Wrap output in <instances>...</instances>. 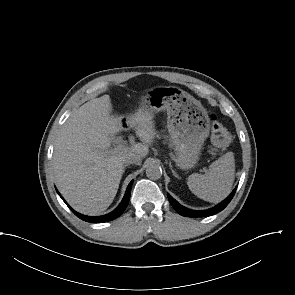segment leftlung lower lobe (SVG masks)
<instances>
[{
  "instance_id": "obj_1",
  "label": "left lung lower lobe",
  "mask_w": 295,
  "mask_h": 295,
  "mask_svg": "<svg viewBox=\"0 0 295 295\" xmlns=\"http://www.w3.org/2000/svg\"><path fill=\"white\" fill-rule=\"evenodd\" d=\"M236 188L233 190V192L229 195L227 199H225L223 202H221L219 205L215 206L212 209L203 210V211H196V210H190L182 205H180L175 199L171 197V195L167 194L169 202L173 206V208L182 216L186 217H207L214 215L220 211H222L232 200L234 194H235Z\"/></svg>"
}]
</instances>
